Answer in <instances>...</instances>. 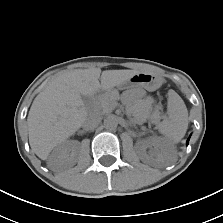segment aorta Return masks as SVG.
<instances>
[{"label": "aorta", "instance_id": "762f6f07", "mask_svg": "<svg viewBox=\"0 0 223 223\" xmlns=\"http://www.w3.org/2000/svg\"><path fill=\"white\" fill-rule=\"evenodd\" d=\"M118 123L114 116H108L104 119V126L106 129L113 130L116 129Z\"/></svg>", "mask_w": 223, "mask_h": 223}]
</instances>
